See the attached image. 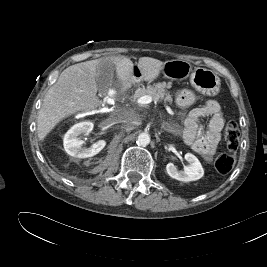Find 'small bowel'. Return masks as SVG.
Segmentation results:
<instances>
[{"label": "small bowel", "mask_w": 267, "mask_h": 267, "mask_svg": "<svg viewBox=\"0 0 267 267\" xmlns=\"http://www.w3.org/2000/svg\"><path fill=\"white\" fill-rule=\"evenodd\" d=\"M195 100L196 96L192 91L184 90L176 96L175 103L178 107L184 108L193 104ZM205 117H209L206 129L201 124ZM223 126L224 119L219 103L208 100L188 114L184 123V142L205 159L210 160L220 142Z\"/></svg>", "instance_id": "small-bowel-1"}]
</instances>
